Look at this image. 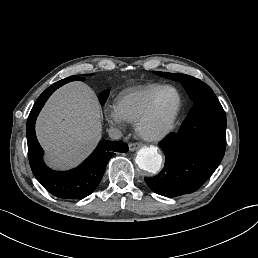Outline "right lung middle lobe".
I'll return each mask as SVG.
<instances>
[{
    "mask_svg": "<svg viewBox=\"0 0 258 258\" xmlns=\"http://www.w3.org/2000/svg\"><path fill=\"white\" fill-rule=\"evenodd\" d=\"M108 95H109V91H104L101 95H100V102H101V105H104L107 98H108Z\"/></svg>",
    "mask_w": 258,
    "mask_h": 258,
    "instance_id": "1",
    "label": "right lung middle lobe"
}]
</instances>
